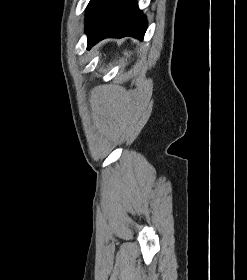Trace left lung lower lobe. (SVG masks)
Listing matches in <instances>:
<instances>
[{
	"label": "left lung lower lobe",
	"instance_id": "0a47b994",
	"mask_svg": "<svg viewBox=\"0 0 247 280\" xmlns=\"http://www.w3.org/2000/svg\"><path fill=\"white\" fill-rule=\"evenodd\" d=\"M147 20L136 0H101L86 18L88 47L106 37L143 39Z\"/></svg>",
	"mask_w": 247,
	"mask_h": 280
}]
</instances>
